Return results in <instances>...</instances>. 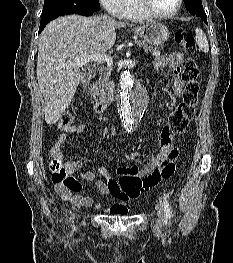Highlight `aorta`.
I'll return each instance as SVG.
<instances>
[{
  "label": "aorta",
  "instance_id": "obj_1",
  "mask_svg": "<svg viewBox=\"0 0 233 263\" xmlns=\"http://www.w3.org/2000/svg\"><path fill=\"white\" fill-rule=\"evenodd\" d=\"M147 92L131 71L123 70L120 76L119 108L126 127L138 122L145 110Z\"/></svg>",
  "mask_w": 233,
  "mask_h": 263
}]
</instances>
